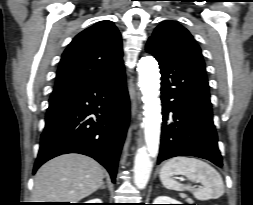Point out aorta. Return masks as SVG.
Segmentation results:
<instances>
[{
  "label": "aorta",
  "mask_w": 253,
  "mask_h": 205,
  "mask_svg": "<svg viewBox=\"0 0 253 205\" xmlns=\"http://www.w3.org/2000/svg\"><path fill=\"white\" fill-rule=\"evenodd\" d=\"M139 87L144 109V134L146 144L140 147L134 160V182L139 189L146 187L152 169L151 155L158 148L162 121L160 103V73L152 56L142 57L137 67Z\"/></svg>",
  "instance_id": "aorta-1"
}]
</instances>
